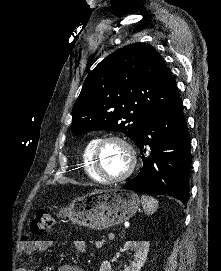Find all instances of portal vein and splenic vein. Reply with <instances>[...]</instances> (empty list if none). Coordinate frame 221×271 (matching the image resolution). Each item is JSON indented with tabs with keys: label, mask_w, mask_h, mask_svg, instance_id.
<instances>
[{
	"label": "portal vein and splenic vein",
	"mask_w": 221,
	"mask_h": 271,
	"mask_svg": "<svg viewBox=\"0 0 221 271\" xmlns=\"http://www.w3.org/2000/svg\"><path fill=\"white\" fill-rule=\"evenodd\" d=\"M108 240H115L116 236L114 235V233H110V235H108Z\"/></svg>",
	"instance_id": "1"
}]
</instances>
